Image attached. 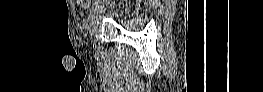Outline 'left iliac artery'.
I'll list each match as a JSON object with an SVG mask.
<instances>
[{
	"label": "left iliac artery",
	"instance_id": "1",
	"mask_svg": "<svg viewBox=\"0 0 263 92\" xmlns=\"http://www.w3.org/2000/svg\"><path fill=\"white\" fill-rule=\"evenodd\" d=\"M97 1H92L91 2V6H90V12H91V17L92 16H96V12H97Z\"/></svg>",
	"mask_w": 263,
	"mask_h": 92
}]
</instances>
